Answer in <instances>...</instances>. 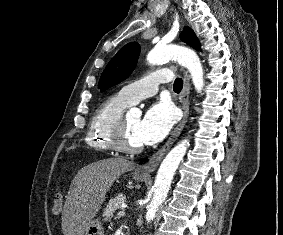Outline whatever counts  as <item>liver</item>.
<instances>
[{
  "instance_id": "6515ba94",
  "label": "liver",
  "mask_w": 283,
  "mask_h": 235,
  "mask_svg": "<svg viewBox=\"0 0 283 235\" xmlns=\"http://www.w3.org/2000/svg\"><path fill=\"white\" fill-rule=\"evenodd\" d=\"M136 164L121 157L108 158L83 167L71 182L62 212L64 235H84L114 181Z\"/></svg>"
}]
</instances>
